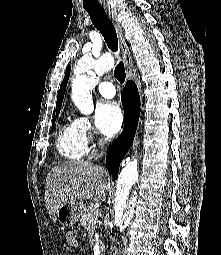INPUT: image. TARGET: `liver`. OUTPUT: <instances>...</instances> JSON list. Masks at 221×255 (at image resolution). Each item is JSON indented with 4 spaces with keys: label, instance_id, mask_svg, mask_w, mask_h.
I'll return each mask as SVG.
<instances>
[{
    "label": "liver",
    "instance_id": "1",
    "mask_svg": "<svg viewBox=\"0 0 221 255\" xmlns=\"http://www.w3.org/2000/svg\"><path fill=\"white\" fill-rule=\"evenodd\" d=\"M109 179L103 168L91 162H66L52 168L46 178L45 201L53 222L57 210L69 200L105 201Z\"/></svg>",
    "mask_w": 221,
    "mask_h": 255
}]
</instances>
